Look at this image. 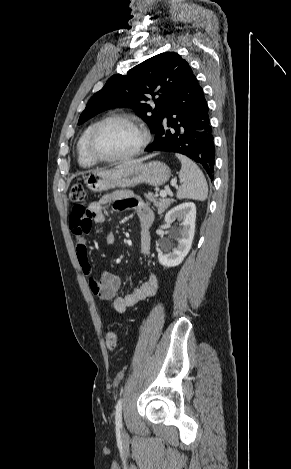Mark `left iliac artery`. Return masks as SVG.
<instances>
[{
    "mask_svg": "<svg viewBox=\"0 0 291 469\" xmlns=\"http://www.w3.org/2000/svg\"><path fill=\"white\" fill-rule=\"evenodd\" d=\"M115 423L117 427H122V399H119L116 404Z\"/></svg>",
    "mask_w": 291,
    "mask_h": 469,
    "instance_id": "left-iliac-artery-1",
    "label": "left iliac artery"
}]
</instances>
